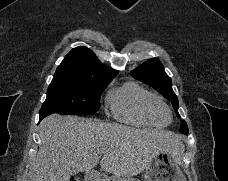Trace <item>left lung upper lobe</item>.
I'll return each mask as SVG.
<instances>
[{"label":"left lung upper lobe","instance_id":"obj_1","mask_svg":"<svg viewBox=\"0 0 228 181\" xmlns=\"http://www.w3.org/2000/svg\"><path fill=\"white\" fill-rule=\"evenodd\" d=\"M131 75L135 79L161 92L172 103L177 116L180 117L178 114V99L172 90L171 78L165 73L163 65L157 58L146 61L140 67L133 70ZM179 131L182 134L188 135L189 131L185 121H182Z\"/></svg>","mask_w":228,"mask_h":181}]
</instances>
